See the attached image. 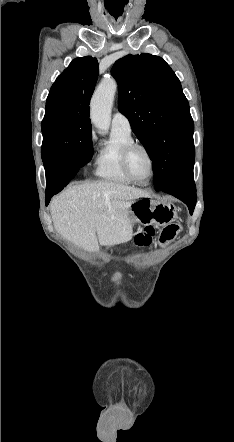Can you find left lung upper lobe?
<instances>
[{
    "label": "left lung upper lobe",
    "instance_id": "obj_1",
    "mask_svg": "<svg viewBox=\"0 0 234 442\" xmlns=\"http://www.w3.org/2000/svg\"><path fill=\"white\" fill-rule=\"evenodd\" d=\"M118 107L153 162L159 191L192 158L194 124L179 79L160 57L127 55L114 64Z\"/></svg>",
    "mask_w": 234,
    "mask_h": 442
}]
</instances>
